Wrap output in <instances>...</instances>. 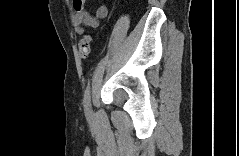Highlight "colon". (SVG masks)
Returning <instances> with one entry per match:
<instances>
[{
  "label": "colon",
  "instance_id": "obj_1",
  "mask_svg": "<svg viewBox=\"0 0 239 156\" xmlns=\"http://www.w3.org/2000/svg\"><path fill=\"white\" fill-rule=\"evenodd\" d=\"M92 37L90 35H84L80 42H79V55L82 59H87L90 50H91V44H92Z\"/></svg>",
  "mask_w": 239,
  "mask_h": 156
}]
</instances>
